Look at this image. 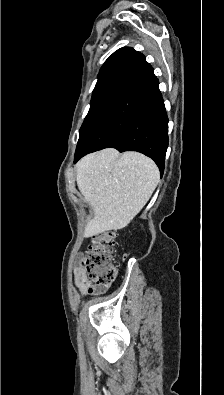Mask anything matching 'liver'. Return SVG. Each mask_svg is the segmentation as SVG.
Here are the masks:
<instances>
[{"mask_svg":"<svg viewBox=\"0 0 224 395\" xmlns=\"http://www.w3.org/2000/svg\"><path fill=\"white\" fill-rule=\"evenodd\" d=\"M153 160L138 152L108 148L83 157L76 165V181L93 210L84 237L126 227L146 205L159 183Z\"/></svg>","mask_w":224,"mask_h":395,"instance_id":"liver-1","label":"liver"}]
</instances>
